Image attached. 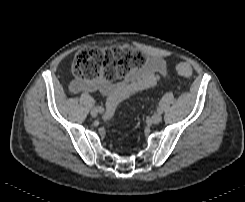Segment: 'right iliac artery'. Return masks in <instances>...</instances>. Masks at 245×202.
Instances as JSON below:
<instances>
[{
	"instance_id": "right-iliac-artery-1",
	"label": "right iliac artery",
	"mask_w": 245,
	"mask_h": 202,
	"mask_svg": "<svg viewBox=\"0 0 245 202\" xmlns=\"http://www.w3.org/2000/svg\"><path fill=\"white\" fill-rule=\"evenodd\" d=\"M100 109H101V113H103L104 112V108L103 107H99Z\"/></svg>"
}]
</instances>
